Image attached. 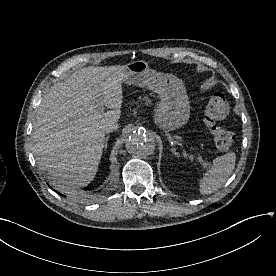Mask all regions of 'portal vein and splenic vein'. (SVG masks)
<instances>
[{
    "label": "portal vein and splenic vein",
    "instance_id": "portal-vein-and-splenic-vein-1",
    "mask_svg": "<svg viewBox=\"0 0 276 276\" xmlns=\"http://www.w3.org/2000/svg\"><path fill=\"white\" fill-rule=\"evenodd\" d=\"M98 108L101 110L102 107H103V103L102 102H98ZM190 157L193 158V155H191ZM198 161L204 166V167H208L209 166V163L208 162H205L201 157H198Z\"/></svg>",
    "mask_w": 276,
    "mask_h": 276
}]
</instances>
